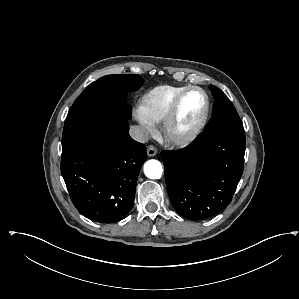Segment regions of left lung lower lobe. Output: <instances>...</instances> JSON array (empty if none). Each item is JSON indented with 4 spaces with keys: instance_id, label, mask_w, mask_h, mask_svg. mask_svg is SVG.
Returning a JSON list of instances; mask_svg holds the SVG:
<instances>
[{
    "instance_id": "obj_1",
    "label": "left lung lower lobe",
    "mask_w": 299,
    "mask_h": 299,
    "mask_svg": "<svg viewBox=\"0 0 299 299\" xmlns=\"http://www.w3.org/2000/svg\"><path fill=\"white\" fill-rule=\"evenodd\" d=\"M244 130L204 131L189 146L162 151L166 186L175 210L191 220L210 218L231 201L243 173Z\"/></svg>"
}]
</instances>
